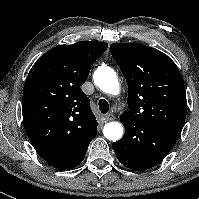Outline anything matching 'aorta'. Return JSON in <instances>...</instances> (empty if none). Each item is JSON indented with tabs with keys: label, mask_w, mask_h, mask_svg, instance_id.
I'll return each mask as SVG.
<instances>
[{
	"label": "aorta",
	"mask_w": 199,
	"mask_h": 199,
	"mask_svg": "<svg viewBox=\"0 0 199 199\" xmlns=\"http://www.w3.org/2000/svg\"><path fill=\"white\" fill-rule=\"evenodd\" d=\"M94 82L105 93L117 95L120 84L116 73L110 67H100L94 73ZM123 126L119 122H109L104 126L103 133L108 140L117 141L123 135Z\"/></svg>",
	"instance_id": "aorta-1"
}]
</instances>
